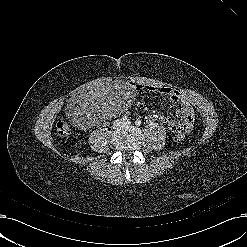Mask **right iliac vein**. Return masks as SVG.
I'll list each match as a JSON object with an SVG mask.
<instances>
[{
	"label": "right iliac vein",
	"mask_w": 247,
	"mask_h": 247,
	"mask_svg": "<svg viewBox=\"0 0 247 247\" xmlns=\"http://www.w3.org/2000/svg\"><path fill=\"white\" fill-rule=\"evenodd\" d=\"M120 124H121V122H117V123H116V126H119Z\"/></svg>",
	"instance_id": "obj_1"
}]
</instances>
